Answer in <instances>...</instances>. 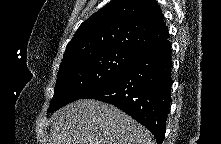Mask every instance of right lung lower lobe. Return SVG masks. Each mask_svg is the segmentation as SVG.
<instances>
[{
	"mask_svg": "<svg viewBox=\"0 0 221 144\" xmlns=\"http://www.w3.org/2000/svg\"><path fill=\"white\" fill-rule=\"evenodd\" d=\"M171 43L168 38L139 54L114 78L82 99L112 104L144 125L162 144L171 102Z\"/></svg>",
	"mask_w": 221,
	"mask_h": 144,
	"instance_id": "98d812e1",
	"label": "right lung lower lobe"
}]
</instances>
